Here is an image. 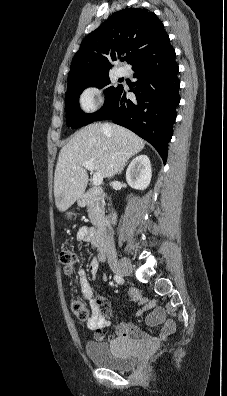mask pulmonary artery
<instances>
[{"mask_svg": "<svg viewBox=\"0 0 227 396\" xmlns=\"http://www.w3.org/2000/svg\"><path fill=\"white\" fill-rule=\"evenodd\" d=\"M116 73H117V76H118V77H124V76L126 75V70H125L124 68L121 67V68H118V69H117V72H116Z\"/></svg>", "mask_w": 227, "mask_h": 396, "instance_id": "pulmonary-artery-1", "label": "pulmonary artery"}]
</instances>
